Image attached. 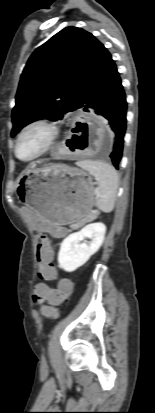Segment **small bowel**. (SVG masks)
<instances>
[{"label":"small bowel","mask_w":155,"mask_h":413,"mask_svg":"<svg viewBox=\"0 0 155 413\" xmlns=\"http://www.w3.org/2000/svg\"><path fill=\"white\" fill-rule=\"evenodd\" d=\"M18 211L24 218H30L28 222L29 226L35 231H50V233L56 237H62L67 232L64 228H60L59 222H49L48 218H42L40 214H36L30 205H20ZM56 275L48 281L53 282L56 279ZM52 290L56 289L50 287L48 284L39 283L34 288V295H37L40 299H45Z\"/></svg>","instance_id":"c3829d8e"}]
</instances>
